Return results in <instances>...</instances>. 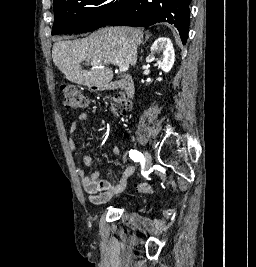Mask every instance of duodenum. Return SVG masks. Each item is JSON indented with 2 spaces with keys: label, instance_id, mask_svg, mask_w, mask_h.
Here are the masks:
<instances>
[{
  "label": "duodenum",
  "instance_id": "1",
  "mask_svg": "<svg viewBox=\"0 0 256 267\" xmlns=\"http://www.w3.org/2000/svg\"><path fill=\"white\" fill-rule=\"evenodd\" d=\"M111 86L113 88L116 87L124 90L131 97L135 93V83L131 76H126L118 79L114 81ZM109 87V84H106V82H103V84H101V81H94V85H88L86 88L88 89V94H97V90L109 89Z\"/></svg>",
  "mask_w": 256,
  "mask_h": 267
}]
</instances>
